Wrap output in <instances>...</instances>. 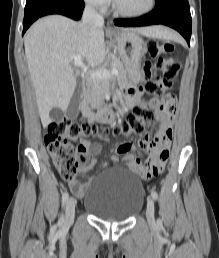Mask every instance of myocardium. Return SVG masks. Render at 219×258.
Listing matches in <instances>:
<instances>
[{
  "label": "myocardium",
  "instance_id": "myocardium-1",
  "mask_svg": "<svg viewBox=\"0 0 219 258\" xmlns=\"http://www.w3.org/2000/svg\"><path fill=\"white\" fill-rule=\"evenodd\" d=\"M156 4V0H150L149 1V5L147 8L140 10V11H136V12H129V11H125L123 9H121L116 0H113V10L116 14L122 16V17H128V18H135V17H140V16H144L148 13H150Z\"/></svg>",
  "mask_w": 219,
  "mask_h": 258
}]
</instances>
